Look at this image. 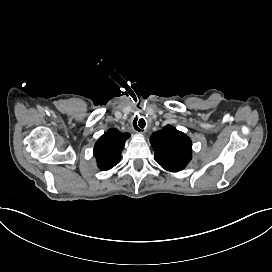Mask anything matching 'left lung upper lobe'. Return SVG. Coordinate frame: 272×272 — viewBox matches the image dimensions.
Masks as SVG:
<instances>
[{
  "mask_svg": "<svg viewBox=\"0 0 272 272\" xmlns=\"http://www.w3.org/2000/svg\"><path fill=\"white\" fill-rule=\"evenodd\" d=\"M150 142L155 152V161L167 171H181L191 160L190 138L171 125L153 133Z\"/></svg>",
  "mask_w": 272,
  "mask_h": 272,
  "instance_id": "5c2ea615",
  "label": "left lung upper lobe"
}]
</instances>
